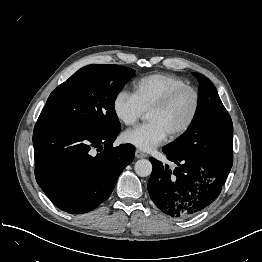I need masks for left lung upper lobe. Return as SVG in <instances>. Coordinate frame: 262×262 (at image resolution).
Wrapping results in <instances>:
<instances>
[{"mask_svg":"<svg viewBox=\"0 0 262 262\" xmlns=\"http://www.w3.org/2000/svg\"><path fill=\"white\" fill-rule=\"evenodd\" d=\"M193 75L200 83L195 116L188 130L164 148L206 164L221 163L232 152V120L213 83L202 74Z\"/></svg>","mask_w":262,"mask_h":262,"instance_id":"1","label":"left lung upper lobe"}]
</instances>
